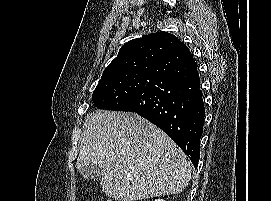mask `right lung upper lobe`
<instances>
[{"instance_id": "1", "label": "right lung upper lobe", "mask_w": 271, "mask_h": 201, "mask_svg": "<svg viewBox=\"0 0 271 201\" xmlns=\"http://www.w3.org/2000/svg\"><path fill=\"white\" fill-rule=\"evenodd\" d=\"M180 43L175 35L166 32L133 39L120 48L118 56L107 66L102 77L131 70L151 69Z\"/></svg>"}]
</instances>
